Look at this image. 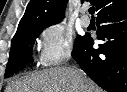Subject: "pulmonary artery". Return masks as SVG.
Here are the masks:
<instances>
[{
    "label": "pulmonary artery",
    "mask_w": 127,
    "mask_h": 92,
    "mask_svg": "<svg viewBox=\"0 0 127 92\" xmlns=\"http://www.w3.org/2000/svg\"><path fill=\"white\" fill-rule=\"evenodd\" d=\"M85 12V10H84ZM80 23L83 27H88L90 25V18L87 15H83L80 18Z\"/></svg>",
    "instance_id": "pulmonary-artery-1"
}]
</instances>
